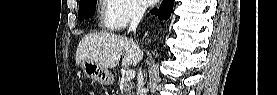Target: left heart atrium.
<instances>
[{"mask_svg":"<svg viewBox=\"0 0 277 95\" xmlns=\"http://www.w3.org/2000/svg\"><path fill=\"white\" fill-rule=\"evenodd\" d=\"M142 2L147 3V4H151L152 3L151 0H142Z\"/></svg>","mask_w":277,"mask_h":95,"instance_id":"left-heart-atrium-1","label":"left heart atrium"}]
</instances>
